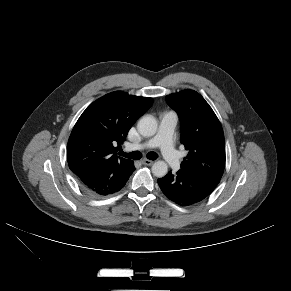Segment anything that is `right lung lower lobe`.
<instances>
[{"mask_svg": "<svg viewBox=\"0 0 291 291\" xmlns=\"http://www.w3.org/2000/svg\"><path fill=\"white\" fill-rule=\"evenodd\" d=\"M134 170L133 162L129 165H98L79 175L78 179L81 188L88 195L106 196L121 190Z\"/></svg>", "mask_w": 291, "mask_h": 291, "instance_id": "1", "label": "right lung lower lobe"}]
</instances>
